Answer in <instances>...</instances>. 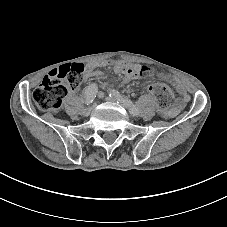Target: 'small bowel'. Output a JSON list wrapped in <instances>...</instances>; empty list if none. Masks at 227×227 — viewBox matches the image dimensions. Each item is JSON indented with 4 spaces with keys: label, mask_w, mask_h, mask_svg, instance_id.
<instances>
[{
    "label": "small bowel",
    "mask_w": 227,
    "mask_h": 227,
    "mask_svg": "<svg viewBox=\"0 0 227 227\" xmlns=\"http://www.w3.org/2000/svg\"><path fill=\"white\" fill-rule=\"evenodd\" d=\"M102 66H112L115 73L122 76L125 80L139 78L142 67L139 64L128 63L122 60H103L88 64L86 66V76L99 79L104 86L107 85V83L103 80V71L100 69ZM158 74L165 80L172 83L181 96V99L177 102L175 107L167 112L168 115H175L181 109L183 104L189 100V96L187 95L182 83L177 78L172 77L170 74Z\"/></svg>",
    "instance_id": "c3829d8e"
}]
</instances>
